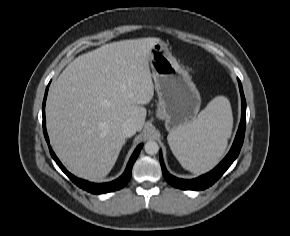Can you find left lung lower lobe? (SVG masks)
Instances as JSON below:
<instances>
[{"mask_svg":"<svg viewBox=\"0 0 290 236\" xmlns=\"http://www.w3.org/2000/svg\"><path fill=\"white\" fill-rule=\"evenodd\" d=\"M238 84L240 88V94H241V101H242V115H241V122L235 137V140L233 142V145L229 151V153L226 155V157L219 163L218 166H216L212 171H210L207 174H204L198 178L192 179V180H184L179 179L171 174L168 173V171L165 168L162 153L160 152V164L163 172L164 178L167 180L169 184L176 188H180L183 190H203L208 188L209 186L213 185L223 174L224 172L230 167V165L234 162V160L237 158L242 144L244 140L245 135V124H246V100L242 89V84L240 80L238 79Z\"/></svg>","mask_w":290,"mask_h":236,"instance_id":"1","label":"left lung lower lobe"}]
</instances>
